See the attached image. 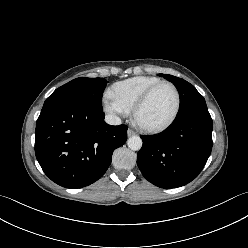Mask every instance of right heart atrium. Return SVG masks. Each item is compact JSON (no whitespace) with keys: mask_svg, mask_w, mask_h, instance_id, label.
Returning <instances> with one entry per match:
<instances>
[{"mask_svg":"<svg viewBox=\"0 0 248 248\" xmlns=\"http://www.w3.org/2000/svg\"><path fill=\"white\" fill-rule=\"evenodd\" d=\"M104 110L115 116H124L129 110L118 102L111 94H105L103 97Z\"/></svg>","mask_w":248,"mask_h":248,"instance_id":"d8ad5b80","label":"right heart atrium"}]
</instances>
